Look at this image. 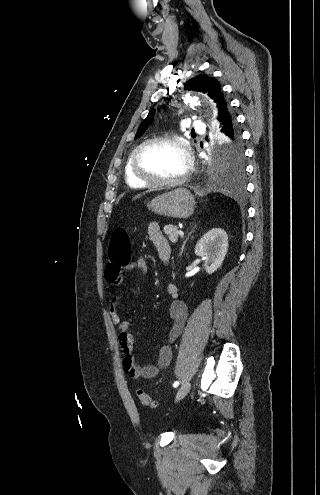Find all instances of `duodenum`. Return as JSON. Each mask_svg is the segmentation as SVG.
Returning <instances> with one entry per match:
<instances>
[{
    "label": "duodenum",
    "instance_id": "410a0bca",
    "mask_svg": "<svg viewBox=\"0 0 320 495\" xmlns=\"http://www.w3.org/2000/svg\"><path fill=\"white\" fill-rule=\"evenodd\" d=\"M170 254H171V251H170V248L168 247L167 249H164L161 251L160 258L162 259L163 262L166 263L169 261Z\"/></svg>",
    "mask_w": 320,
    "mask_h": 495
}]
</instances>
